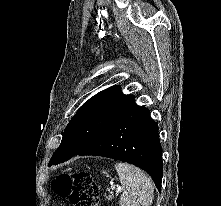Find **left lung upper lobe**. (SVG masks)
<instances>
[{"instance_id": "obj_1", "label": "left lung upper lobe", "mask_w": 221, "mask_h": 206, "mask_svg": "<svg viewBox=\"0 0 221 206\" xmlns=\"http://www.w3.org/2000/svg\"><path fill=\"white\" fill-rule=\"evenodd\" d=\"M132 95H124L119 86L105 89L86 101L67 125L60 146L49 166L72 158L102 133L132 103Z\"/></svg>"}]
</instances>
